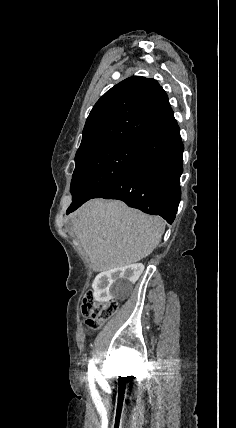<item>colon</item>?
<instances>
[{"label": "colon", "mask_w": 236, "mask_h": 428, "mask_svg": "<svg viewBox=\"0 0 236 428\" xmlns=\"http://www.w3.org/2000/svg\"><path fill=\"white\" fill-rule=\"evenodd\" d=\"M118 302H97L92 291L86 292L83 298L82 313L86 317V326L90 330L99 329L118 310Z\"/></svg>", "instance_id": "obj_1"}]
</instances>
